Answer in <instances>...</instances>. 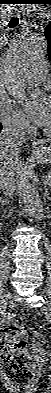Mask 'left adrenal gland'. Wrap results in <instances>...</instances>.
Returning a JSON list of instances; mask_svg holds the SVG:
<instances>
[{"mask_svg":"<svg viewBox=\"0 0 51 393\" xmlns=\"http://www.w3.org/2000/svg\"><path fill=\"white\" fill-rule=\"evenodd\" d=\"M46 196H47V197L49 196L48 188H46Z\"/></svg>","mask_w":51,"mask_h":393,"instance_id":"a2214340","label":"left adrenal gland"}]
</instances>
